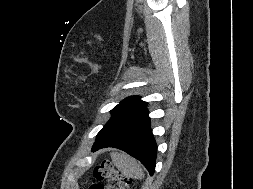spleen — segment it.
Listing matches in <instances>:
<instances>
[{"instance_id": "spleen-1", "label": "spleen", "mask_w": 253, "mask_h": 189, "mask_svg": "<svg viewBox=\"0 0 253 189\" xmlns=\"http://www.w3.org/2000/svg\"><path fill=\"white\" fill-rule=\"evenodd\" d=\"M110 156L114 165L125 176L134 179H142L144 177L141 164L134 158L123 152H111Z\"/></svg>"}]
</instances>
